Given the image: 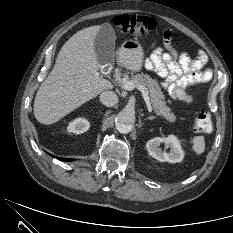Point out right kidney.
I'll list each match as a JSON object with an SVG mask.
<instances>
[{"instance_id":"1","label":"right kidney","mask_w":233,"mask_h":233,"mask_svg":"<svg viewBox=\"0 0 233 233\" xmlns=\"http://www.w3.org/2000/svg\"><path fill=\"white\" fill-rule=\"evenodd\" d=\"M90 127V123L85 118H77L70 121L67 126V131L75 134H81L86 132Z\"/></svg>"}]
</instances>
